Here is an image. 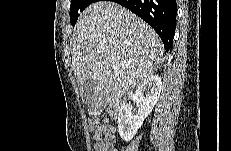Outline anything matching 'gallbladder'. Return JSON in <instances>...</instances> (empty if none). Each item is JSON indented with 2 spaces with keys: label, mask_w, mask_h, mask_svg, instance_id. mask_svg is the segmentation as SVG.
I'll list each match as a JSON object with an SVG mask.
<instances>
[{
  "label": "gallbladder",
  "mask_w": 231,
  "mask_h": 151,
  "mask_svg": "<svg viewBox=\"0 0 231 151\" xmlns=\"http://www.w3.org/2000/svg\"><path fill=\"white\" fill-rule=\"evenodd\" d=\"M81 96L82 100L87 104L92 103L96 99V84L92 80L84 81Z\"/></svg>",
  "instance_id": "1"
}]
</instances>
